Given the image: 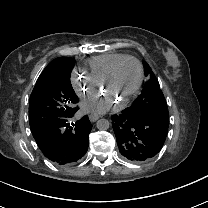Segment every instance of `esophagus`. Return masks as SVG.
<instances>
[{
  "instance_id": "1",
  "label": "esophagus",
  "mask_w": 208,
  "mask_h": 208,
  "mask_svg": "<svg viewBox=\"0 0 208 208\" xmlns=\"http://www.w3.org/2000/svg\"><path fill=\"white\" fill-rule=\"evenodd\" d=\"M89 119L91 122H95L99 119V116L91 114V115H89Z\"/></svg>"
}]
</instances>
